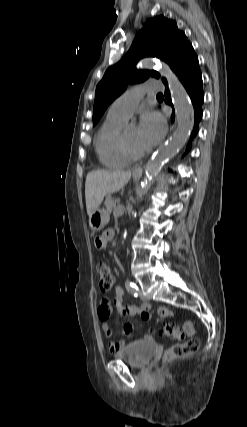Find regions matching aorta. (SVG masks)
<instances>
[{
    "mask_svg": "<svg viewBox=\"0 0 247 427\" xmlns=\"http://www.w3.org/2000/svg\"><path fill=\"white\" fill-rule=\"evenodd\" d=\"M142 65L146 68L156 67L160 74L167 78L177 117V128L172 137L167 144L159 148L152 161L147 164L146 171L152 174L160 171L163 164L173 158L186 143L194 126V109L178 77L166 65L156 63L152 59L143 60ZM144 186L145 183L142 182V188L137 192L139 198L145 193ZM126 237L127 232H124L123 238Z\"/></svg>",
    "mask_w": 247,
    "mask_h": 427,
    "instance_id": "1",
    "label": "aorta"
}]
</instances>
